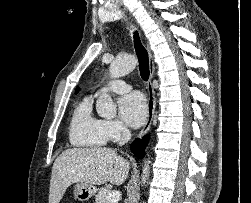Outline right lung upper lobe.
<instances>
[{
  "label": "right lung upper lobe",
  "mask_w": 251,
  "mask_h": 203,
  "mask_svg": "<svg viewBox=\"0 0 251 203\" xmlns=\"http://www.w3.org/2000/svg\"><path fill=\"white\" fill-rule=\"evenodd\" d=\"M78 91H79V88L76 89V92H75V93H78Z\"/></svg>",
  "instance_id": "right-lung-upper-lobe-1"
}]
</instances>
